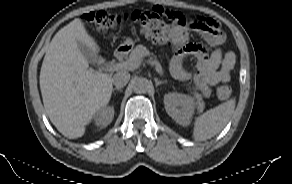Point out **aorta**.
Segmentation results:
<instances>
[{
	"instance_id": "1",
	"label": "aorta",
	"mask_w": 292,
	"mask_h": 184,
	"mask_svg": "<svg viewBox=\"0 0 292 184\" xmlns=\"http://www.w3.org/2000/svg\"><path fill=\"white\" fill-rule=\"evenodd\" d=\"M150 86V82L144 77H137L132 82L133 91L139 94L146 93L149 90Z\"/></svg>"
}]
</instances>
